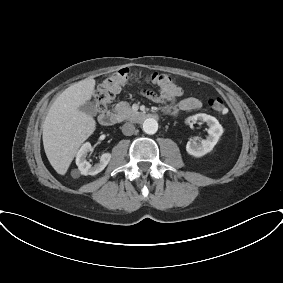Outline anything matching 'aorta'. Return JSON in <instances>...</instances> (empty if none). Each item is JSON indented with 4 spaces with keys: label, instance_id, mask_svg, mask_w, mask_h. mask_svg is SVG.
I'll use <instances>...</instances> for the list:
<instances>
[{
    "label": "aorta",
    "instance_id": "obj_1",
    "mask_svg": "<svg viewBox=\"0 0 283 283\" xmlns=\"http://www.w3.org/2000/svg\"><path fill=\"white\" fill-rule=\"evenodd\" d=\"M158 130V122L153 118H148L143 122V131L146 134L153 135Z\"/></svg>",
    "mask_w": 283,
    "mask_h": 283
}]
</instances>
